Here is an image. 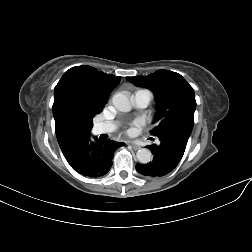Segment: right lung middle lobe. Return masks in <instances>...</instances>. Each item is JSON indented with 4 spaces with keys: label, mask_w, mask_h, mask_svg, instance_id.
<instances>
[{
    "label": "right lung middle lobe",
    "mask_w": 252,
    "mask_h": 252,
    "mask_svg": "<svg viewBox=\"0 0 252 252\" xmlns=\"http://www.w3.org/2000/svg\"><path fill=\"white\" fill-rule=\"evenodd\" d=\"M92 118H93V117L87 118V119H86V123H87V125H88V127H89L90 129H92Z\"/></svg>",
    "instance_id": "obj_1"
}]
</instances>
